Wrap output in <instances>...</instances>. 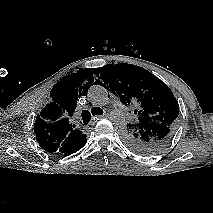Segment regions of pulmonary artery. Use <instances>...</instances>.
I'll return each mask as SVG.
<instances>
[{
	"instance_id": "obj_1",
	"label": "pulmonary artery",
	"mask_w": 213,
	"mask_h": 213,
	"mask_svg": "<svg viewBox=\"0 0 213 213\" xmlns=\"http://www.w3.org/2000/svg\"><path fill=\"white\" fill-rule=\"evenodd\" d=\"M113 102H114V104H115L120 110H124V109H125L124 106H123V104L120 102L119 98L114 97V98H113Z\"/></svg>"
}]
</instances>
